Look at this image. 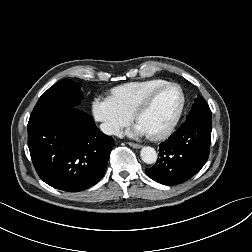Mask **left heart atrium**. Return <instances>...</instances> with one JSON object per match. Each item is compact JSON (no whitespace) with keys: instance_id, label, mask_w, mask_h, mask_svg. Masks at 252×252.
Instances as JSON below:
<instances>
[{"instance_id":"1","label":"left heart atrium","mask_w":252,"mask_h":252,"mask_svg":"<svg viewBox=\"0 0 252 252\" xmlns=\"http://www.w3.org/2000/svg\"><path fill=\"white\" fill-rule=\"evenodd\" d=\"M128 135L130 136H142V135H150V132L142 125L140 122L134 124L129 130Z\"/></svg>"}]
</instances>
